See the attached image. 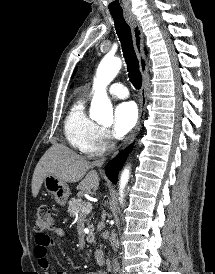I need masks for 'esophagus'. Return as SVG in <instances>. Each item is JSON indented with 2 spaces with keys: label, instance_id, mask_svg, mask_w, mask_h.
I'll list each match as a JSON object with an SVG mask.
<instances>
[{
  "label": "esophagus",
  "instance_id": "obj_1",
  "mask_svg": "<svg viewBox=\"0 0 215 274\" xmlns=\"http://www.w3.org/2000/svg\"><path fill=\"white\" fill-rule=\"evenodd\" d=\"M126 18L132 28V33H133V39H134V45L136 49V53L139 59V64H140V70L144 76V82L141 88V105H140V113H139V119L137 122V125L130 136L129 140L126 143V146L130 144L137 134L139 133L142 123L144 120L145 116V107L147 103L146 99V77H147V71H148V64H147V59L144 53V38H143V33L141 26L137 20V18L132 14V13H127Z\"/></svg>",
  "mask_w": 215,
  "mask_h": 274
}]
</instances>
